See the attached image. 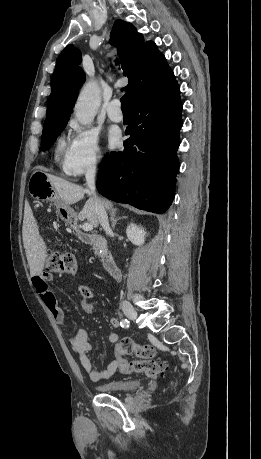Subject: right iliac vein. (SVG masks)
<instances>
[{
	"label": "right iliac vein",
	"instance_id": "right-iliac-vein-1",
	"mask_svg": "<svg viewBox=\"0 0 261 459\" xmlns=\"http://www.w3.org/2000/svg\"><path fill=\"white\" fill-rule=\"evenodd\" d=\"M122 310L124 314L127 316V318H129L130 320L134 321L137 319V312L134 309V307L130 305L129 303H124L122 305Z\"/></svg>",
	"mask_w": 261,
	"mask_h": 459
}]
</instances>
